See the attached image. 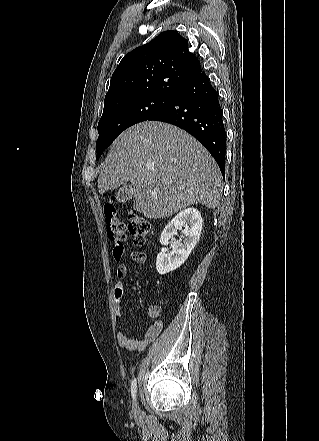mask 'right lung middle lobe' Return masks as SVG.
Segmentation results:
<instances>
[{
    "label": "right lung middle lobe",
    "instance_id": "dd1d6c3e",
    "mask_svg": "<svg viewBox=\"0 0 319 441\" xmlns=\"http://www.w3.org/2000/svg\"><path fill=\"white\" fill-rule=\"evenodd\" d=\"M170 100L148 96L121 102L105 109L98 123L97 160L120 133L136 123L148 120L168 105Z\"/></svg>",
    "mask_w": 319,
    "mask_h": 441
}]
</instances>
